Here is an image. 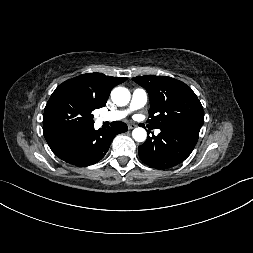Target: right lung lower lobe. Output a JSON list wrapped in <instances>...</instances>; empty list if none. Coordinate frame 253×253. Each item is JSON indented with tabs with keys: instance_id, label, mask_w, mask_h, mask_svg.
Masks as SVG:
<instances>
[{
	"instance_id": "1",
	"label": "right lung lower lobe",
	"mask_w": 253,
	"mask_h": 253,
	"mask_svg": "<svg viewBox=\"0 0 253 253\" xmlns=\"http://www.w3.org/2000/svg\"><path fill=\"white\" fill-rule=\"evenodd\" d=\"M127 131L123 122H113L106 130H95L94 126L55 129L44 132L52 152L63 161L86 167L99 162L107 153L111 141Z\"/></svg>"
}]
</instances>
